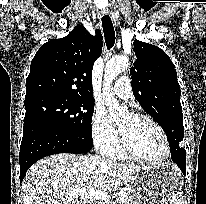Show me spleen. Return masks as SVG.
<instances>
[{
  "label": "spleen",
  "instance_id": "spleen-1",
  "mask_svg": "<svg viewBox=\"0 0 206 204\" xmlns=\"http://www.w3.org/2000/svg\"><path fill=\"white\" fill-rule=\"evenodd\" d=\"M170 204H182V197L179 193H176L170 199Z\"/></svg>",
  "mask_w": 206,
  "mask_h": 204
}]
</instances>
